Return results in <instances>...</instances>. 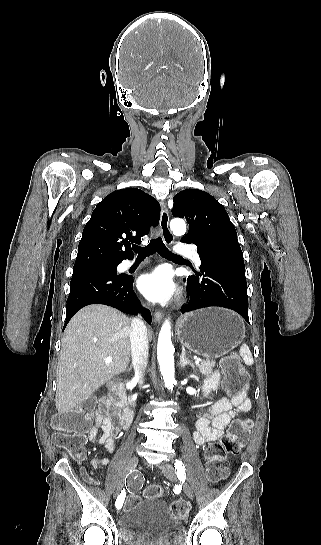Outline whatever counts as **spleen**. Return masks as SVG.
I'll list each match as a JSON object with an SVG mask.
<instances>
[{
    "mask_svg": "<svg viewBox=\"0 0 321 545\" xmlns=\"http://www.w3.org/2000/svg\"><path fill=\"white\" fill-rule=\"evenodd\" d=\"M240 357H242L245 365H253L254 361H253V357L251 355V351L249 349V347H247V345H242L240 351Z\"/></svg>",
    "mask_w": 321,
    "mask_h": 545,
    "instance_id": "1",
    "label": "spleen"
}]
</instances>
